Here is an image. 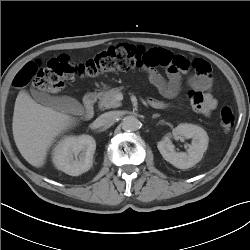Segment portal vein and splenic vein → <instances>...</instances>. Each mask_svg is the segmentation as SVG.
<instances>
[{"label":"portal vein and splenic vein","mask_w":250,"mask_h":250,"mask_svg":"<svg viewBox=\"0 0 250 250\" xmlns=\"http://www.w3.org/2000/svg\"><path fill=\"white\" fill-rule=\"evenodd\" d=\"M122 99H123L122 94H119V95L116 96V100L117 101H121Z\"/></svg>","instance_id":"portal-vein-and-splenic-vein-1"}]
</instances>
